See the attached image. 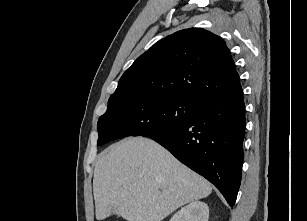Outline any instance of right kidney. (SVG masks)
Here are the masks:
<instances>
[{
  "label": "right kidney",
  "mask_w": 307,
  "mask_h": 221,
  "mask_svg": "<svg viewBox=\"0 0 307 221\" xmlns=\"http://www.w3.org/2000/svg\"><path fill=\"white\" fill-rule=\"evenodd\" d=\"M209 208L206 203L194 201L176 212L170 221H208Z\"/></svg>",
  "instance_id": "obj_1"
}]
</instances>
